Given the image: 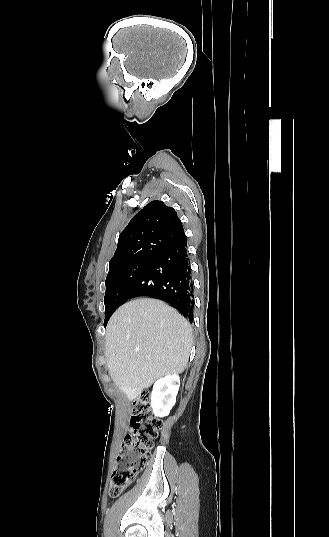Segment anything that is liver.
Returning <instances> with one entry per match:
<instances>
[{
	"instance_id": "1",
	"label": "liver",
	"mask_w": 329,
	"mask_h": 537,
	"mask_svg": "<svg viewBox=\"0 0 329 537\" xmlns=\"http://www.w3.org/2000/svg\"><path fill=\"white\" fill-rule=\"evenodd\" d=\"M191 346V326L176 309L156 299L132 300L116 310L107 326L110 377L135 400L154 380L184 371Z\"/></svg>"
}]
</instances>
